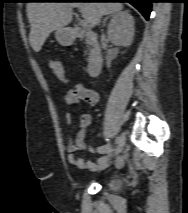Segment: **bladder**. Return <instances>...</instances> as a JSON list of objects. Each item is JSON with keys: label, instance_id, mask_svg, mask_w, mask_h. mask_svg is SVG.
I'll use <instances>...</instances> for the list:
<instances>
[{"label": "bladder", "instance_id": "bladder-1", "mask_svg": "<svg viewBox=\"0 0 188 213\" xmlns=\"http://www.w3.org/2000/svg\"><path fill=\"white\" fill-rule=\"evenodd\" d=\"M120 187V181L118 179H110L107 182V188L109 190H117Z\"/></svg>", "mask_w": 188, "mask_h": 213}]
</instances>
